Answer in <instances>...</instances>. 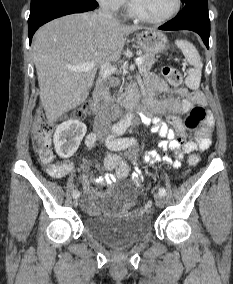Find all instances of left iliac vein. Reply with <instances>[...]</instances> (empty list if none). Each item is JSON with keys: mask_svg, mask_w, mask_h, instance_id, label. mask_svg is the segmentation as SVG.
I'll return each mask as SVG.
<instances>
[{"mask_svg": "<svg viewBox=\"0 0 233 284\" xmlns=\"http://www.w3.org/2000/svg\"><path fill=\"white\" fill-rule=\"evenodd\" d=\"M154 199H155V203L156 205L159 207V208H162L165 204V201H164V197L161 196L160 194H156L154 196Z\"/></svg>", "mask_w": 233, "mask_h": 284, "instance_id": "4c4485c4", "label": "left iliac vein"}]
</instances>
